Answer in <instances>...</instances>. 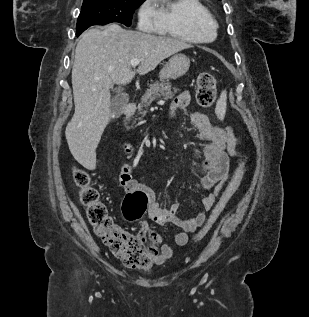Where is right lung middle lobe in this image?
I'll return each mask as SVG.
<instances>
[{
  "label": "right lung middle lobe",
  "instance_id": "dd1d6c3e",
  "mask_svg": "<svg viewBox=\"0 0 309 317\" xmlns=\"http://www.w3.org/2000/svg\"><path fill=\"white\" fill-rule=\"evenodd\" d=\"M145 0H83L76 30L112 22L131 25L132 14Z\"/></svg>",
  "mask_w": 309,
  "mask_h": 317
}]
</instances>
